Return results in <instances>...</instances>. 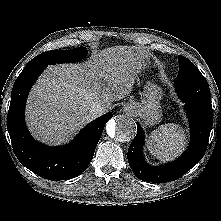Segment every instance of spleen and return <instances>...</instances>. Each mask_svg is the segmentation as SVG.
<instances>
[{"instance_id": "3e777b00", "label": "spleen", "mask_w": 221, "mask_h": 221, "mask_svg": "<svg viewBox=\"0 0 221 221\" xmlns=\"http://www.w3.org/2000/svg\"><path fill=\"white\" fill-rule=\"evenodd\" d=\"M184 129L174 123L162 125L152 131L147 140L149 152L161 161H169L181 154L185 147Z\"/></svg>"}]
</instances>
